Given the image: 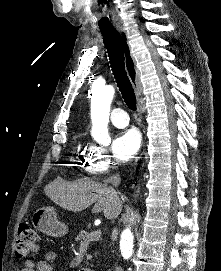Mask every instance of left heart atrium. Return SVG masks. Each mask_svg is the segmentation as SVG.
Masks as SVG:
<instances>
[{"label":"left heart atrium","instance_id":"left-heart-atrium-1","mask_svg":"<svg viewBox=\"0 0 221 271\" xmlns=\"http://www.w3.org/2000/svg\"><path fill=\"white\" fill-rule=\"evenodd\" d=\"M172 94H176V92H172ZM140 137L139 131L135 129L121 133L117 142H113V145H111L113 156L131 157L139 146Z\"/></svg>","mask_w":221,"mask_h":271}]
</instances>
